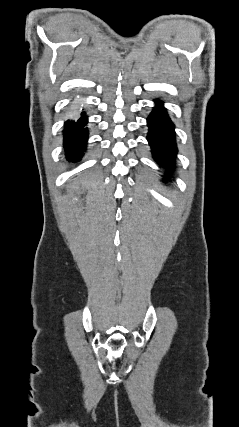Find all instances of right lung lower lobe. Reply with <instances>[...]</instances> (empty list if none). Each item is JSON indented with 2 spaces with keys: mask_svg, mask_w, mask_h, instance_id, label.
I'll return each mask as SVG.
<instances>
[{
  "mask_svg": "<svg viewBox=\"0 0 239 427\" xmlns=\"http://www.w3.org/2000/svg\"><path fill=\"white\" fill-rule=\"evenodd\" d=\"M88 118L83 111L81 115L69 119L65 123L63 130L64 148L67 158L76 162L82 157L88 139V129L86 127Z\"/></svg>",
  "mask_w": 239,
  "mask_h": 427,
  "instance_id": "right-lung-lower-lobe-1",
  "label": "right lung lower lobe"
}]
</instances>
